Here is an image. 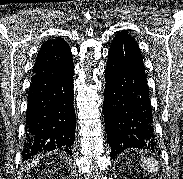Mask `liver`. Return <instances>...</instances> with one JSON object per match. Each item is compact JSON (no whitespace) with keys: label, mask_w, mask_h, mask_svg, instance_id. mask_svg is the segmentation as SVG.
<instances>
[{"label":"liver","mask_w":183,"mask_h":179,"mask_svg":"<svg viewBox=\"0 0 183 179\" xmlns=\"http://www.w3.org/2000/svg\"><path fill=\"white\" fill-rule=\"evenodd\" d=\"M37 163H38V161H35V162H34L35 165H36ZM34 164H33V165H34Z\"/></svg>","instance_id":"6515ba94"}]
</instances>
